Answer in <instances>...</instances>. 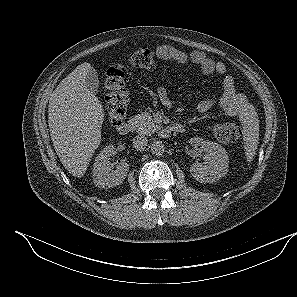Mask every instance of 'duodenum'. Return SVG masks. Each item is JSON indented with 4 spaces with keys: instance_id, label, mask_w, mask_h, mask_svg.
I'll use <instances>...</instances> for the list:
<instances>
[{
    "instance_id": "obj_1",
    "label": "duodenum",
    "mask_w": 297,
    "mask_h": 297,
    "mask_svg": "<svg viewBox=\"0 0 297 297\" xmlns=\"http://www.w3.org/2000/svg\"><path fill=\"white\" fill-rule=\"evenodd\" d=\"M135 127V123L132 120L123 121L119 125H117V131L120 135H128L133 131ZM184 131V127L181 124H173L164 127L160 134L162 137H167L173 133H181Z\"/></svg>"
}]
</instances>
